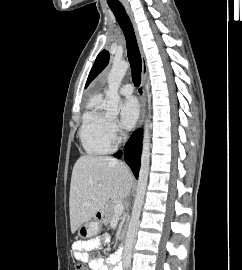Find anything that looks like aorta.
Here are the masks:
<instances>
[{"mask_svg":"<svg viewBox=\"0 0 242 270\" xmlns=\"http://www.w3.org/2000/svg\"><path fill=\"white\" fill-rule=\"evenodd\" d=\"M129 64L125 61L115 62L110 70L107 77L108 91L107 101L103 105L104 110L111 115L118 114V106L120 103V95L118 93L122 79L124 78ZM150 124L146 120L144 124V136H143V150L141 154V166L139 171L138 185L136 191V197L132 209L131 219L128 225V231L126 235L124 257L130 259L134 240L137 235V227L139 224V218L141 209L144 202L148 174H149V163H150Z\"/></svg>","mask_w":242,"mask_h":270,"instance_id":"1","label":"aorta"}]
</instances>
